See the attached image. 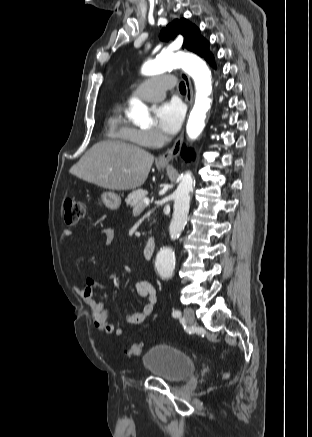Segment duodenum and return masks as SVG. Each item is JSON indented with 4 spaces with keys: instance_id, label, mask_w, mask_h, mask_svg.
Listing matches in <instances>:
<instances>
[{
    "instance_id": "410a0bca",
    "label": "duodenum",
    "mask_w": 312,
    "mask_h": 437,
    "mask_svg": "<svg viewBox=\"0 0 312 437\" xmlns=\"http://www.w3.org/2000/svg\"><path fill=\"white\" fill-rule=\"evenodd\" d=\"M155 242L152 238H149L143 247V256L146 260H150L154 253Z\"/></svg>"
}]
</instances>
